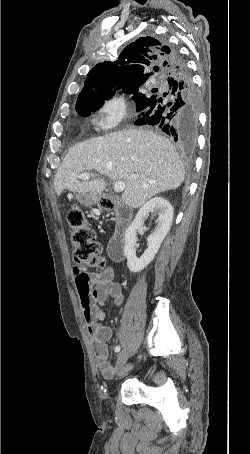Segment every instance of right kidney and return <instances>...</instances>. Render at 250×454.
<instances>
[{
  "mask_svg": "<svg viewBox=\"0 0 250 454\" xmlns=\"http://www.w3.org/2000/svg\"><path fill=\"white\" fill-rule=\"evenodd\" d=\"M158 215L156 227L148 237V248L140 258L136 257V231L150 215ZM173 222V207L162 197H154L146 202L137 212L132 224L125 232L124 255L131 272H139L148 266L158 252L161 243L168 234Z\"/></svg>",
  "mask_w": 250,
  "mask_h": 454,
  "instance_id": "obj_1",
  "label": "right kidney"
}]
</instances>
